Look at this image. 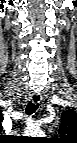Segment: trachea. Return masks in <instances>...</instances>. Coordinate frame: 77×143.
Here are the masks:
<instances>
[{
  "instance_id": "3493384b",
  "label": "trachea",
  "mask_w": 77,
  "mask_h": 143,
  "mask_svg": "<svg viewBox=\"0 0 77 143\" xmlns=\"http://www.w3.org/2000/svg\"><path fill=\"white\" fill-rule=\"evenodd\" d=\"M38 106H39L38 104H34L32 102H29L26 109H25L26 114L31 115V114L35 113V111L38 109Z\"/></svg>"
}]
</instances>
